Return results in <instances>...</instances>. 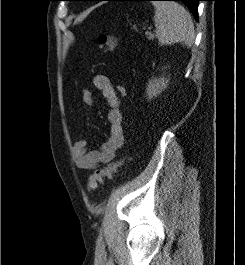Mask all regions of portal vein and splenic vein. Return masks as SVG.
I'll return each mask as SVG.
<instances>
[{
    "label": "portal vein and splenic vein",
    "mask_w": 245,
    "mask_h": 265,
    "mask_svg": "<svg viewBox=\"0 0 245 265\" xmlns=\"http://www.w3.org/2000/svg\"><path fill=\"white\" fill-rule=\"evenodd\" d=\"M149 34L152 35L151 33H148V32L146 33V35H149Z\"/></svg>",
    "instance_id": "obj_1"
}]
</instances>
